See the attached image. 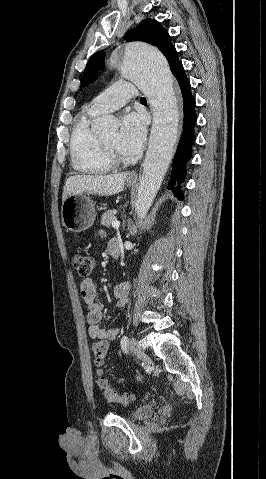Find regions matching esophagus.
Segmentation results:
<instances>
[{"label":"esophagus","instance_id":"obj_1","mask_svg":"<svg viewBox=\"0 0 266 479\" xmlns=\"http://www.w3.org/2000/svg\"><path fill=\"white\" fill-rule=\"evenodd\" d=\"M129 178H131V179H137V173H136L135 171H134V172H131V173L129 174Z\"/></svg>","mask_w":266,"mask_h":479}]
</instances>
